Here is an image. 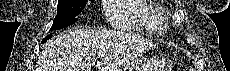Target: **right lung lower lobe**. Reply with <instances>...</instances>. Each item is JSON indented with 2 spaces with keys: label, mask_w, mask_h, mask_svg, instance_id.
I'll list each match as a JSON object with an SVG mask.
<instances>
[{
  "label": "right lung lower lobe",
  "mask_w": 230,
  "mask_h": 71,
  "mask_svg": "<svg viewBox=\"0 0 230 71\" xmlns=\"http://www.w3.org/2000/svg\"><path fill=\"white\" fill-rule=\"evenodd\" d=\"M52 37V35H48V36H46L43 40H42V43H44V42H46L49 38H51Z\"/></svg>",
  "instance_id": "1"
}]
</instances>
